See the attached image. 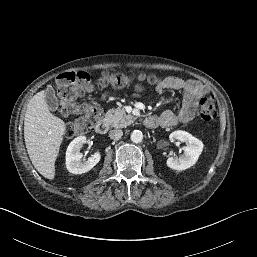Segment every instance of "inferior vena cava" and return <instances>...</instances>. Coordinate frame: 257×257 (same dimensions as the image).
<instances>
[{
	"mask_svg": "<svg viewBox=\"0 0 257 257\" xmlns=\"http://www.w3.org/2000/svg\"><path fill=\"white\" fill-rule=\"evenodd\" d=\"M123 132L120 129H114L109 132V137L113 140H118L122 137Z\"/></svg>",
	"mask_w": 257,
	"mask_h": 257,
	"instance_id": "602c4592",
	"label": "inferior vena cava"
}]
</instances>
